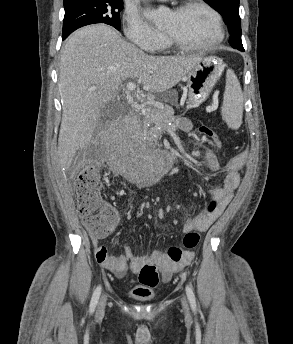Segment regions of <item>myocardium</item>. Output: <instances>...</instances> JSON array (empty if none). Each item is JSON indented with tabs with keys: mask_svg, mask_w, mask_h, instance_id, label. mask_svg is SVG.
Masks as SVG:
<instances>
[{
	"mask_svg": "<svg viewBox=\"0 0 293 344\" xmlns=\"http://www.w3.org/2000/svg\"><path fill=\"white\" fill-rule=\"evenodd\" d=\"M195 7H199L206 10L212 16L214 20V24H215V30H216L215 37L211 41L204 44H189L164 31V36L169 45L182 51L198 52V51L211 50L223 41L225 37V31H224L222 17L220 13L214 7H212L210 4L206 3L205 1L189 0L177 6L176 8H174L173 12L182 13Z\"/></svg>",
	"mask_w": 293,
	"mask_h": 344,
	"instance_id": "f54148a6",
	"label": "myocardium"
}]
</instances>
